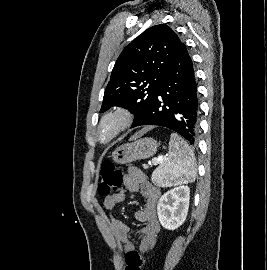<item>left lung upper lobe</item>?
I'll return each instance as SVG.
<instances>
[{"label":"left lung upper lobe","instance_id":"left-lung-upper-lobe-1","mask_svg":"<svg viewBox=\"0 0 267 270\" xmlns=\"http://www.w3.org/2000/svg\"><path fill=\"white\" fill-rule=\"evenodd\" d=\"M182 42L167 25L152 26L118 57L105 89L101 112L122 106L134 115V127L152 103Z\"/></svg>","mask_w":267,"mask_h":270}]
</instances>
